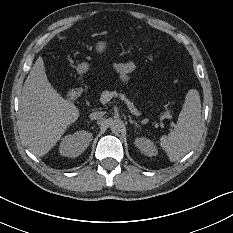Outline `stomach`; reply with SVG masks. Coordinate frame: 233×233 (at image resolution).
Instances as JSON below:
<instances>
[{
	"label": "stomach",
	"mask_w": 233,
	"mask_h": 233,
	"mask_svg": "<svg viewBox=\"0 0 233 233\" xmlns=\"http://www.w3.org/2000/svg\"><path fill=\"white\" fill-rule=\"evenodd\" d=\"M99 48H102V46L100 45ZM78 69L81 71V72H85L86 71V67L84 65L78 67Z\"/></svg>",
	"instance_id": "0dacf381"
}]
</instances>
